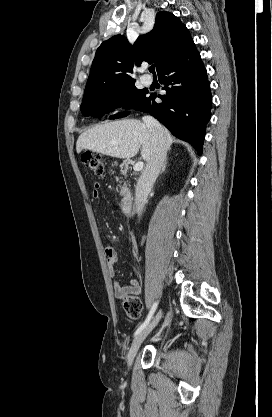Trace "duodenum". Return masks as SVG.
<instances>
[{"instance_id": "duodenum-1", "label": "duodenum", "mask_w": 272, "mask_h": 417, "mask_svg": "<svg viewBox=\"0 0 272 417\" xmlns=\"http://www.w3.org/2000/svg\"><path fill=\"white\" fill-rule=\"evenodd\" d=\"M130 170V165L129 163H124L121 166V171L123 173H128ZM120 208L123 212L124 215L129 216L132 212V208H133V195L131 192H125L124 197L120 203Z\"/></svg>"}]
</instances>
